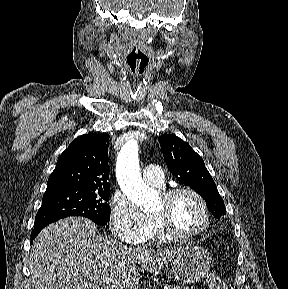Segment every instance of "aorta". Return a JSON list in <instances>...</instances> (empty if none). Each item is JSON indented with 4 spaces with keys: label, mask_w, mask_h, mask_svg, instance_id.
Wrapping results in <instances>:
<instances>
[{
    "label": "aorta",
    "mask_w": 288,
    "mask_h": 289,
    "mask_svg": "<svg viewBox=\"0 0 288 289\" xmlns=\"http://www.w3.org/2000/svg\"><path fill=\"white\" fill-rule=\"evenodd\" d=\"M116 176L124 194L143 211L152 210L157 203V194L143 181L138 158V143L129 140L120 150Z\"/></svg>",
    "instance_id": "762f6f07"
}]
</instances>
